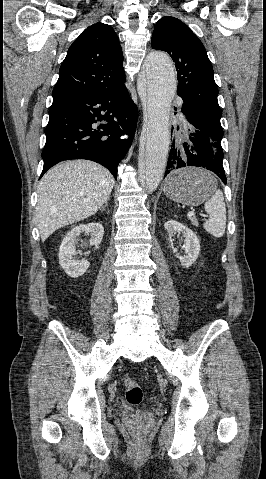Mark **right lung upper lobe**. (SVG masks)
<instances>
[{"label":"right lung upper lobe","instance_id":"cb5924a9","mask_svg":"<svg viewBox=\"0 0 266 479\" xmlns=\"http://www.w3.org/2000/svg\"><path fill=\"white\" fill-rule=\"evenodd\" d=\"M119 38L110 25L89 26L68 49L53 99L116 87L125 82Z\"/></svg>","mask_w":266,"mask_h":479}]
</instances>
